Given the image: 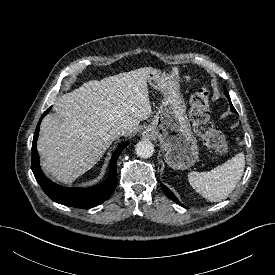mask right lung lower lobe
<instances>
[{"label":"right lung lower lobe","instance_id":"98d812e1","mask_svg":"<svg viewBox=\"0 0 275 275\" xmlns=\"http://www.w3.org/2000/svg\"><path fill=\"white\" fill-rule=\"evenodd\" d=\"M50 109L51 107L48 108L41 116V119L39 120V123L36 127V131L32 142V171L37 182L40 184L41 188L46 193V195L59 204L83 209L92 208L100 205L110 197V195L116 188L117 160L119 158L120 153L128 146V142H125L122 145H120L114 152L111 158L109 176L103 183L87 189L61 187L51 182L43 174L39 165V155L36 149V142L39 135L40 123L43 117L48 114Z\"/></svg>","mask_w":275,"mask_h":275}]
</instances>
